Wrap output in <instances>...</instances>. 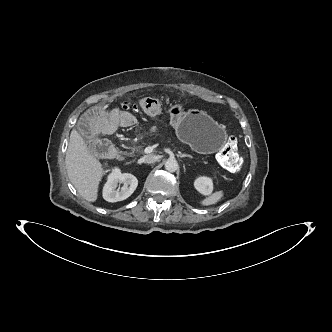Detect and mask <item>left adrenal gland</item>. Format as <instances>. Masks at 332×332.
<instances>
[{
    "mask_svg": "<svg viewBox=\"0 0 332 332\" xmlns=\"http://www.w3.org/2000/svg\"><path fill=\"white\" fill-rule=\"evenodd\" d=\"M178 156L181 157V158H183V157H189V158H192V156L189 155V154H182V153H179Z\"/></svg>",
    "mask_w": 332,
    "mask_h": 332,
    "instance_id": "a2214340",
    "label": "left adrenal gland"
}]
</instances>
